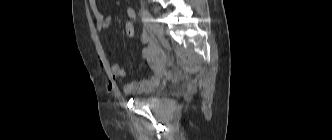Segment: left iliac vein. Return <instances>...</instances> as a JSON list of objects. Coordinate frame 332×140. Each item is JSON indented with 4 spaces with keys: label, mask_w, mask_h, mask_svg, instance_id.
I'll return each instance as SVG.
<instances>
[{
    "label": "left iliac vein",
    "mask_w": 332,
    "mask_h": 140,
    "mask_svg": "<svg viewBox=\"0 0 332 140\" xmlns=\"http://www.w3.org/2000/svg\"><path fill=\"white\" fill-rule=\"evenodd\" d=\"M153 19V18H152ZM153 23L151 24V30L154 34L156 35H160L162 33V29L161 27L159 26L158 23H156V21L153 19L152 21Z\"/></svg>",
    "instance_id": "1"
}]
</instances>
